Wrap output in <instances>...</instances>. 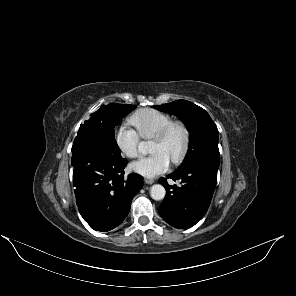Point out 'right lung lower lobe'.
I'll return each instance as SVG.
<instances>
[{"label":"right lung lower lobe","mask_w":296,"mask_h":296,"mask_svg":"<svg viewBox=\"0 0 296 296\" xmlns=\"http://www.w3.org/2000/svg\"><path fill=\"white\" fill-rule=\"evenodd\" d=\"M73 185L79 212L90 227L110 231L127 216L144 182L137 174L124 177L127 160L100 139L76 136L72 146Z\"/></svg>","instance_id":"1"}]
</instances>
